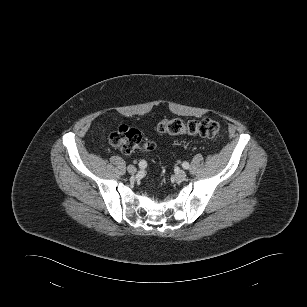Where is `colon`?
<instances>
[{"instance_id":"obj_1","label":"colon","mask_w":307,"mask_h":307,"mask_svg":"<svg viewBox=\"0 0 307 307\" xmlns=\"http://www.w3.org/2000/svg\"><path fill=\"white\" fill-rule=\"evenodd\" d=\"M160 133L176 136L191 135L204 138H216L220 134L219 124L210 119L191 120L184 122L181 119H164L157 124ZM109 143L123 154H130L136 150L149 152L155 148L151 140H143L139 130L121 125L109 135Z\"/></svg>"}]
</instances>
